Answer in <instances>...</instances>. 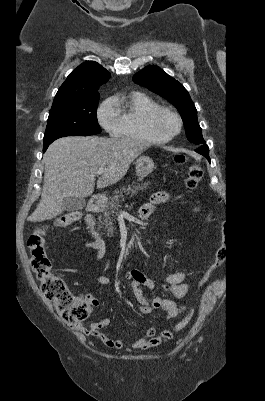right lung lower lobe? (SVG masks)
<instances>
[{
  "mask_svg": "<svg viewBox=\"0 0 265 401\" xmlns=\"http://www.w3.org/2000/svg\"><path fill=\"white\" fill-rule=\"evenodd\" d=\"M49 145H50V144H44L43 152L46 151V149L48 148Z\"/></svg>",
  "mask_w": 265,
  "mask_h": 401,
  "instance_id": "right-lung-lower-lobe-1",
  "label": "right lung lower lobe"
}]
</instances>
